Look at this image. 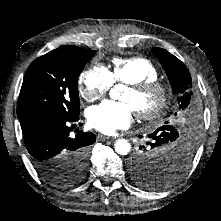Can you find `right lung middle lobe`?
I'll return each instance as SVG.
<instances>
[{
  "label": "right lung middle lobe",
  "mask_w": 221,
  "mask_h": 221,
  "mask_svg": "<svg viewBox=\"0 0 221 221\" xmlns=\"http://www.w3.org/2000/svg\"><path fill=\"white\" fill-rule=\"evenodd\" d=\"M95 50H53L28 67L19 94L17 115L38 111H52L62 115H75L80 111L78 77ZM90 146L67 153L62 162L40 173L57 187H70L83 180Z\"/></svg>",
  "instance_id": "right-lung-middle-lobe-1"
}]
</instances>
